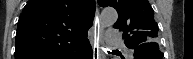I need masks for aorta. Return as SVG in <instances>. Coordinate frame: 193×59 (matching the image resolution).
<instances>
[{
    "label": "aorta",
    "mask_w": 193,
    "mask_h": 59,
    "mask_svg": "<svg viewBox=\"0 0 193 59\" xmlns=\"http://www.w3.org/2000/svg\"><path fill=\"white\" fill-rule=\"evenodd\" d=\"M118 19V14L114 8H106L100 15V23L103 28L112 26Z\"/></svg>",
    "instance_id": "1"
}]
</instances>
